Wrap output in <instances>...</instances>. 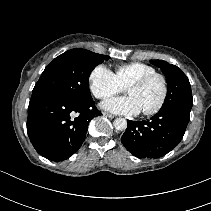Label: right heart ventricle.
<instances>
[{"label": "right heart ventricle", "instance_id": "e07e8e85", "mask_svg": "<svg viewBox=\"0 0 211 211\" xmlns=\"http://www.w3.org/2000/svg\"><path fill=\"white\" fill-rule=\"evenodd\" d=\"M154 72L156 69L149 64L132 62L119 65L114 74L122 87H128L135 80Z\"/></svg>", "mask_w": 211, "mask_h": 211}]
</instances>
